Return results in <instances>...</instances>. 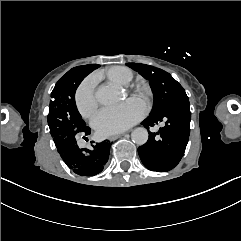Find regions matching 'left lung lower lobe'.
<instances>
[{
  "instance_id": "1",
  "label": "left lung lower lobe",
  "mask_w": 241,
  "mask_h": 241,
  "mask_svg": "<svg viewBox=\"0 0 241 241\" xmlns=\"http://www.w3.org/2000/svg\"><path fill=\"white\" fill-rule=\"evenodd\" d=\"M190 104L181 98L162 112L148 116L141 124L146 129L165 121L157 133L149 132L148 141L138 148L142 163L152 171L173 169L184 155L190 134ZM156 134L159 137H156Z\"/></svg>"
}]
</instances>
